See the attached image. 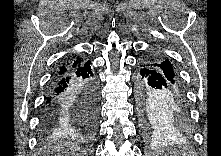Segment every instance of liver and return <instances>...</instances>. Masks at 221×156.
Instances as JSON below:
<instances>
[{"label":"liver","mask_w":221,"mask_h":156,"mask_svg":"<svg viewBox=\"0 0 221 156\" xmlns=\"http://www.w3.org/2000/svg\"><path fill=\"white\" fill-rule=\"evenodd\" d=\"M47 150L58 156H81V148L73 142H61L57 146L49 147Z\"/></svg>","instance_id":"1"}]
</instances>
